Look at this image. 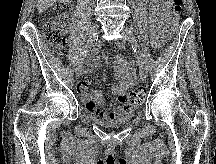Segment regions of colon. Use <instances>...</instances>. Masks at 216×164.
<instances>
[{"instance_id": "1", "label": "colon", "mask_w": 216, "mask_h": 164, "mask_svg": "<svg viewBox=\"0 0 216 164\" xmlns=\"http://www.w3.org/2000/svg\"><path fill=\"white\" fill-rule=\"evenodd\" d=\"M73 8V0H59L55 7V14L51 21L44 27L45 39L58 51L66 43V35L69 27L70 13ZM182 10V0H172V9L168 15V22L173 32H178L179 18ZM146 98V89L137 86L128 95L124 96V101L129 105H139Z\"/></svg>"}]
</instances>
